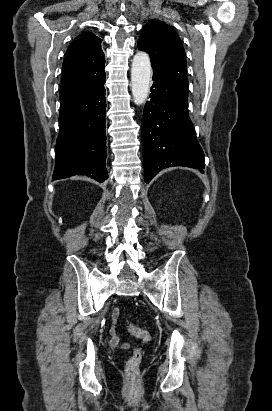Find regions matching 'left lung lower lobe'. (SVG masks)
<instances>
[{
    "mask_svg": "<svg viewBox=\"0 0 272 411\" xmlns=\"http://www.w3.org/2000/svg\"><path fill=\"white\" fill-rule=\"evenodd\" d=\"M141 123L144 180L172 166L204 169V153L188 113V91L153 72Z\"/></svg>",
    "mask_w": 272,
    "mask_h": 411,
    "instance_id": "left-lung-lower-lobe-1",
    "label": "left lung lower lobe"
}]
</instances>
